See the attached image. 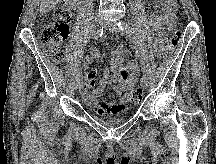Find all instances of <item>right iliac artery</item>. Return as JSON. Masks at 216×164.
Masks as SVG:
<instances>
[{
  "label": "right iliac artery",
  "instance_id": "82829eb1",
  "mask_svg": "<svg viewBox=\"0 0 216 164\" xmlns=\"http://www.w3.org/2000/svg\"><path fill=\"white\" fill-rule=\"evenodd\" d=\"M103 34V28L98 29L97 31L94 32L93 34V39L97 40L99 37H101ZM76 77H80L81 76V69L77 68L76 69V73H75Z\"/></svg>",
  "mask_w": 216,
  "mask_h": 164
}]
</instances>
